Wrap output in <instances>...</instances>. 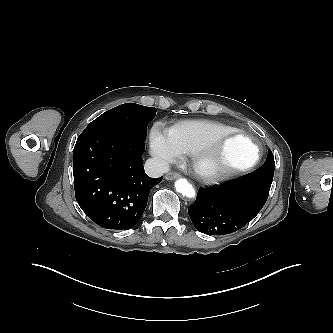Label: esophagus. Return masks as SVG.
I'll return each instance as SVG.
<instances>
[{
    "label": "esophagus",
    "mask_w": 333,
    "mask_h": 333,
    "mask_svg": "<svg viewBox=\"0 0 333 333\" xmlns=\"http://www.w3.org/2000/svg\"><path fill=\"white\" fill-rule=\"evenodd\" d=\"M181 175L177 172H169L165 175L166 180H174L179 178Z\"/></svg>",
    "instance_id": "1"
}]
</instances>
